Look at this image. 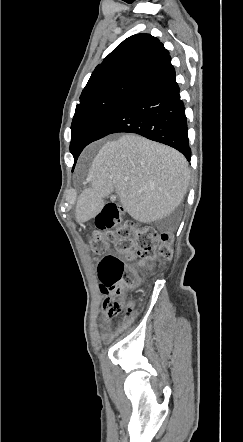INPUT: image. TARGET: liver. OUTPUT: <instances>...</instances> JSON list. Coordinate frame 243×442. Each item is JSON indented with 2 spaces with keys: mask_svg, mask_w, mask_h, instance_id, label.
Listing matches in <instances>:
<instances>
[{
  "mask_svg": "<svg viewBox=\"0 0 243 442\" xmlns=\"http://www.w3.org/2000/svg\"><path fill=\"white\" fill-rule=\"evenodd\" d=\"M92 182L80 194L76 221L84 223L98 215L103 198L116 191L125 211L141 223L170 216L187 192L190 169L177 150L135 134L108 141L89 169Z\"/></svg>",
  "mask_w": 243,
  "mask_h": 442,
  "instance_id": "6515ba94",
  "label": "liver"
}]
</instances>
